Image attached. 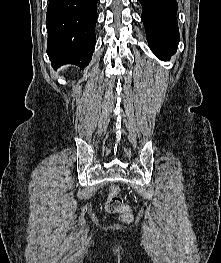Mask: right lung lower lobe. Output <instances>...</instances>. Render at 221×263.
<instances>
[{
    "instance_id": "1",
    "label": "right lung lower lobe",
    "mask_w": 221,
    "mask_h": 263,
    "mask_svg": "<svg viewBox=\"0 0 221 263\" xmlns=\"http://www.w3.org/2000/svg\"><path fill=\"white\" fill-rule=\"evenodd\" d=\"M98 0H49L47 54L52 66L85 68L95 48Z\"/></svg>"
}]
</instances>
